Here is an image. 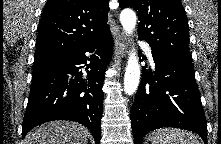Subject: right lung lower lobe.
Here are the masks:
<instances>
[{
	"instance_id": "1",
	"label": "right lung lower lobe",
	"mask_w": 221,
	"mask_h": 144,
	"mask_svg": "<svg viewBox=\"0 0 221 144\" xmlns=\"http://www.w3.org/2000/svg\"><path fill=\"white\" fill-rule=\"evenodd\" d=\"M111 57L112 36L109 30L52 62L33 69L22 138L42 123L71 120L88 127L98 144L101 137L104 71ZM82 64L86 66L85 73L80 71Z\"/></svg>"
}]
</instances>
